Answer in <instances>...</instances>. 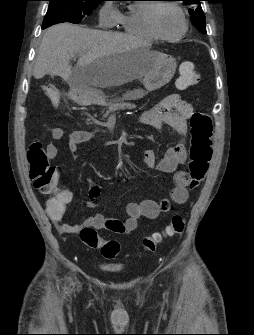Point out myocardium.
<instances>
[{"mask_svg":"<svg viewBox=\"0 0 254 335\" xmlns=\"http://www.w3.org/2000/svg\"><path fill=\"white\" fill-rule=\"evenodd\" d=\"M163 6H169L173 9H175L178 14L180 15L183 23V28L180 31V33L174 35V36H168L163 34L158 26H157V12L158 10L163 7ZM146 22L148 25V28L150 31L158 38L161 40H166V41H177L182 39L185 34L187 33L189 29V23L187 20V17L183 11V9L176 3L174 2H169V1H164V2H158L156 4H151L150 7L148 8L146 12Z\"/></svg>","mask_w":254,"mask_h":335,"instance_id":"1","label":"myocardium"}]
</instances>
